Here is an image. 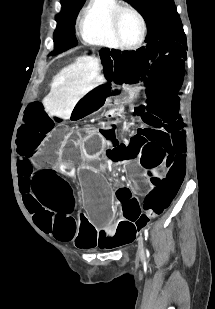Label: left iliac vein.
Here are the masks:
<instances>
[{"mask_svg":"<svg viewBox=\"0 0 215 309\" xmlns=\"http://www.w3.org/2000/svg\"><path fill=\"white\" fill-rule=\"evenodd\" d=\"M143 246H144L143 237L140 236L138 238V255L139 256H143L144 255Z\"/></svg>","mask_w":215,"mask_h":309,"instance_id":"left-iliac-vein-1","label":"left iliac vein"}]
</instances>
